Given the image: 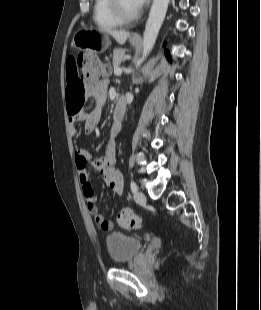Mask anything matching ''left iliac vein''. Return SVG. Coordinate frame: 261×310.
<instances>
[{
    "label": "left iliac vein",
    "instance_id": "4c4485c4",
    "mask_svg": "<svg viewBox=\"0 0 261 310\" xmlns=\"http://www.w3.org/2000/svg\"><path fill=\"white\" fill-rule=\"evenodd\" d=\"M134 199L138 204H145L146 203V196L143 192L138 191L134 194Z\"/></svg>",
    "mask_w": 261,
    "mask_h": 310
}]
</instances>
